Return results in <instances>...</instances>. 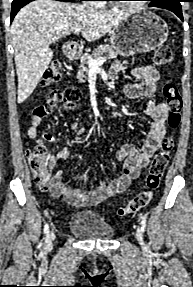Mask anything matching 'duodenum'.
<instances>
[{
    "mask_svg": "<svg viewBox=\"0 0 193 287\" xmlns=\"http://www.w3.org/2000/svg\"><path fill=\"white\" fill-rule=\"evenodd\" d=\"M63 53L66 59L75 60L80 53V46L78 43H67L63 48Z\"/></svg>",
    "mask_w": 193,
    "mask_h": 287,
    "instance_id": "duodenum-1",
    "label": "duodenum"
}]
</instances>
